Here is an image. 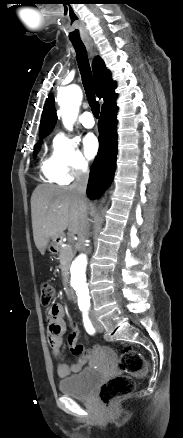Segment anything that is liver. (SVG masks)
<instances>
[{"instance_id": "1", "label": "liver", "mask_w": 183, "mask_h": 438, "mask_svg": "<svg viewBox=\"0 0 183 438\" xmlns=\"http://www.w3.org/2000/svg\"><path fill=\"white\" fill-rule=\"evenodd\" d=\"M86 215L87 201L71 188L38 185L31 197V216L34 242L41 254L49 240L60 237L66 229L81 234Z\"/></svg>"}]
</instances>
